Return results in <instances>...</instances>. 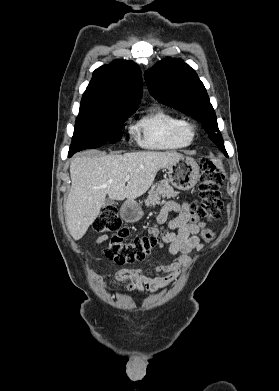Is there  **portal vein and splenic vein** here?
<instances>
[{
	"label": "portal vein and splenic vein",
	"instance_id": "1",
	"mask_svg": "<svg viewBox=\"0 0 279 391\" xmlns=\"http://www.w3.org/2000/svg\"><path fill=\"white\" fill-rule=\"evenodd\" d=\"M129 178H130V177H129V176H127V177L125 178V181H128V180H129Z\"/></svg>",
	"mask_w": 279,
	"mask_h": 391
}]
</instances>
